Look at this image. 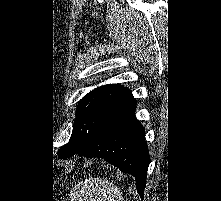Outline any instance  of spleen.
<instances>
[{
    "label": "spleen",
    "mask_w": 221,
    "mask_h": 201,
    "mask_svg": "<svg viewBox=\"0 0 221 201\" xmlns=\"http://www.w3.org/2000/svg\"><path fill=\"white\" fill-rule=\"evenodd\" d=\"M72 201H124L122 192L113 183L100 178H90L79 183L72 194Z\"/></svg>",
    "instance_id": "obj_1"
}]
</instances>
